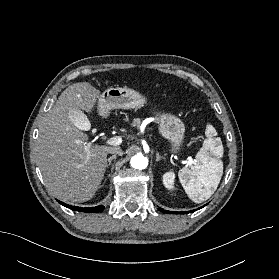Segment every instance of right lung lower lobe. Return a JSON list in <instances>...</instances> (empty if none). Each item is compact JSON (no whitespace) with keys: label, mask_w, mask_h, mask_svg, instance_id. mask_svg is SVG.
<instances>
[{"label":"right lung lower lobe","mask_w":279,"mask_h":279,"mask_svg":"<svg viewBox=\"0 0 279 279\" xmlns=\"http://www.w3.org/2000/svg\"><path fill=\"white\" fill-rule=\"evenodd\" d=\"M61 205L70 208L72 210L75 211H80V212H100L104 209V206L100 205V206H96V207H91V208H81V207H76V206H70L68 204H65L59 200H57Z\"/></svg>","instance_id":"98d812e1"}]
</instances>
